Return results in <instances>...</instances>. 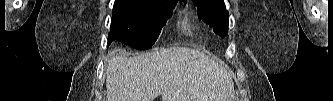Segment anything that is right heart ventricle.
Masks as SVG:
<instances>
[{"label":"right heart ventricle","instance_id":"right-heart-ventricle-1","mask_svg":"<svg viewBox=\"0 0 333 101\" xmlns=\"http://www.w3.org/2000/svg\"><path fill=\"white\" fill-rule=\"evenodd\" d=\"M184 26H185V27H188V24H187V22H185V23H184Z\"/></svg>","mask_w":333,"mask_h":101}]
</instances>
